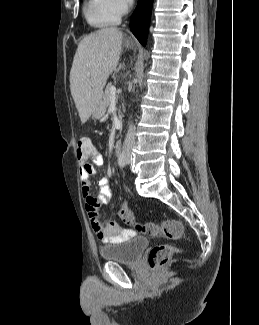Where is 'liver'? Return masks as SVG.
<instances>
[{
    "mask_svg": "<svg viewBox=\"0 0 259 325\" xmlns=\"http://www.w3.org/2000/svg\"><path fill=\"white\" fill-rule=\"evenodd\" d=\"M123 33L115 27L101 29L78 45L70 71V90L82 124L101 101L109 75L116 69ZM125 47H129L126 41Z\"/></svg>",
    "mask_w": 259,
    "mask_h": 325,
    "instance_id": "obj_1",
    "label": "liver"
}]
</instances>
